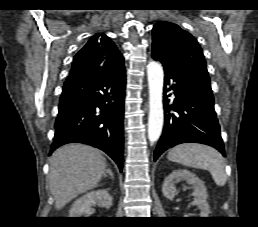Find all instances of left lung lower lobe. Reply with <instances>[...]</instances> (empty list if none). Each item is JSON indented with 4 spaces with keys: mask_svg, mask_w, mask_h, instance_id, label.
<instances>
[{
    "mask_svg": "<svg viewBox=\"0 0 258 227\" xmlns=\"http://www.w3.org/2000/svg\"><path fill=\"white\" fill-rule=\"evenodd\" d=\"M164 72V86L172 81L175 99L170 105L164 92L165 124L154 160L168 148L185 142L206 144L225 155L210 82L166 66Z\"/></svg>",
    "mask_w": 258,
    "mask_h": 227,
    "instance_id": "left-lung-lower-lobe-1",
    "label": "left lung lower lobe"
}]
</instances>
